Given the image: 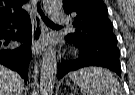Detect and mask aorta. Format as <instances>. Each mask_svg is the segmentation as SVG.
I'll return each instance as SVG.
<instances>
[{
	"instance_id": "762f6f07",
	"label": "aorta",
	"mask_w": 135,
	"mask_h": 95,
	"mask_svg": "<svg viewBox=\"0 0 135 95\" xmlns=\"http://www.w3.org/2000/svg\"><path fill=\"white\" fill-rule=\"evenodd\" d=\"M44 9L51 14L62 7V0H43ZM57 76V58L52 47H49L43 56L40 74L41 95H53Z\"/></svg>"
}]
</instances>
